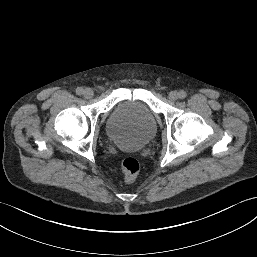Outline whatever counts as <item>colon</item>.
Segmentation results:
<instances>
[{
    "label": "colon",
    "mask_w": 257,
    "mask_h": 257,
    "mask_svg": "<svg viewBox=\"0 0 257 257\" xmlns=\"http://www.w3.org/2000/svg\"><path fill=\"white\" fill-rule=\"evenodd\" d=\"M139 170V163L135 158H126L122 163V172L126 182H132Z\"/></svg>",
    "instance_id": "colon-1"
}]
</instances>
